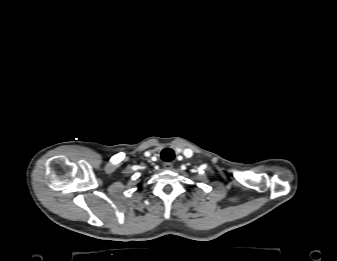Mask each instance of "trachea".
Listing matches in <instances>:
<instances>
[{
	"label": "trachea",
	"mask_w": 337,
	"mask_h": 261,
	"mask_svg": "<svg viewBox=\"0 0 337 261\" xmlns=\"http://www.w3.org/2000/svg\"><path fill=\"white\" fill-rule=\"evenodd\" d=\"M175 153L170 148H165L161 152V159L165 162H170L174 159Z\"/></svg>",
	"instance_id": "obj_1"
}]
</instances>
